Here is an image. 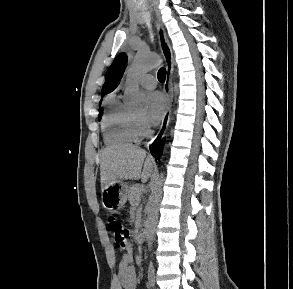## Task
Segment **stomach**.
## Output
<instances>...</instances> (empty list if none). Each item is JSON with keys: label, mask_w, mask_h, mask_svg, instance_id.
Segmentation results:
<instances>
[{"label": "stomach", "mask_w": 293, "mask_h": 289, "mask_svg": "<svg viewBox=\"0 0 293 289\" xmlns=\"http://www.w3.org/2000/svg\"><path fill=\"white\" fill-rule=\"evenodd\" d=\"M128 186L117 180L102 190L101 199L105 209L114 211L122 208L127 200Z\"/></svg>", "instance_id": "0dacf381"}]
</instances>
